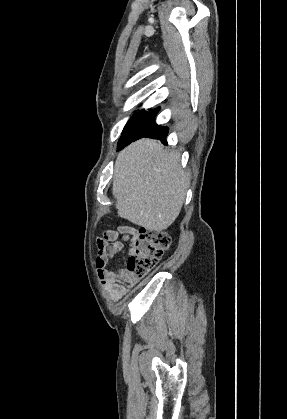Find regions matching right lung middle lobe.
<instances>
[{
  "label": "right lung middle lobe",
  "instance_id": "obj_1",
  "mask_svg": "<svg viewBox=\"0 0 287 419\" xmlns=\"http://www.w3.org/2000/svg\"><path fill=\"white\" fill-rule=\"evenodd\" d=\"M158 109L151 111H139L135 113L125 125L122 135L118 142V150L128 145L133 139L144 133L155 123V116Z\"/></svg>",
  "mask_w": 287,
  "mask_h": 419
}]
</instances>
